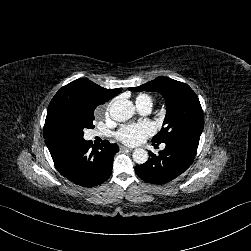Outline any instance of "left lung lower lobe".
I'll return each instance as SVG.
<instances>
[{
    "instance_id": "obj_1",
    "label": "left lung lower lobe",
    "mask_w": 251,
    "mask_h": 251,
    "mask_svg": "<svg viewBox=\"0 0 251 251\" xmlns=\"http://www.w3.org/2000/svg\"><path fill=\"white\" fill-rule=\"evenodd\" d=\"M165 144V149L158 155L149 152L148 161L135 167L136 174L142 180L160 185L172 181L193 162L199 142L178 138Z\"/></svg>"
}]
</instances>
